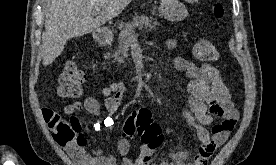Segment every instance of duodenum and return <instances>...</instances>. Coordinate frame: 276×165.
<instances>
[{
    "label": "duodenum",
    "instance_id": "obj_1",
    "mask_svg": "<svg viewBox=\"0 0 276 165\" xmlns=\"http://www.w3.org/2000/svg\"><path fill=\"white\" fill-rule=\"evenodd\" d=\"M96 39L101 46H106L111 42V36L105 32H99Z\"/></svg>",
    "mask_w": 276,
    "mask_h": 165
}]
</instances>
